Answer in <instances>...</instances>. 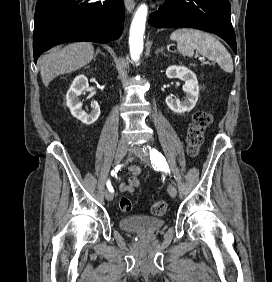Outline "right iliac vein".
Segmentation results:
<instances>
[{
  "mask_svg": "<svg viewBox=\"0 0 272 282\" xmlns=\"http://www.w3.org/2000/svg\"><path fill=\"white\" fill-rule=\"evenodd\" d=\"M127 151H128L127 142L126 141H121L118 144V147L116 149V154H115V163L116 164H118L123 159V157L126 155ZM113 197H114L113 192H111V191H106L105 192V198L108 201L113 200Z\"/></svg>",
  "mask_w": 272,
  "mask_h": 282,
  "instance_id": "1",
  "label": "right iliac vein"
}]
</instances>
